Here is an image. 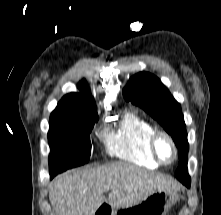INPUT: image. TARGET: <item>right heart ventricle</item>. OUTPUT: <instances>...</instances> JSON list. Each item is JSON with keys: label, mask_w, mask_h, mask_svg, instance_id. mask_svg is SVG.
Listing matches in <instances>:
<instances>
[{"label": "right heart ventricle", "mask_w": 221, "mask_h": 215, "mask_svg": "<svg viewBox=\"0 0 221 215\" xmlns=\"http://www.w3.org/2000/svg\"><path fill=\"white\" fill-rule=\"evenodd\" d=\"M155 132L153 125L134 109L125 111L117 128L106 129L101 135L107 152L122 160L154 168L149 140Z\"/></svg>", "instance_id": "1"}]
</instances>
